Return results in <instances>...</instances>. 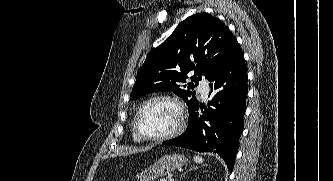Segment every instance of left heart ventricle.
Listing matches in <instances>:
<instances>
[{
    "label": "left heart ventricle",
    "instance_id": "obj_1",
    "mask_svg": "<svg viewBox=\"0 0 333 181\" xmlns=\"http://www.w3.org/2000/svg\"><path fill=\"white\" fill-rule=\"evenodd\" d=\"M177 106L167 100L148 104L139 117V128L147 136H160L172 131L178 124Z\"/></svg>",
    "mask_w": 333,
    "mask_h": 181
}]
</instances>
